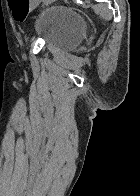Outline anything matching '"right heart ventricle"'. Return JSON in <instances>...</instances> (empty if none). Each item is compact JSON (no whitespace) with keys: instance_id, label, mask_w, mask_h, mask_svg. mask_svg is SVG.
I'll list each match as a JSON object with an SVG mask.
<instances>
[{"instance_id":"1","label":"right heart ventricle","mask_w":140,"mask_h":196,"mask_svg":"<svg viewBox=\"0 0 140 196\" xmlns=\"http://www.w3.org/2000/svg\"><path fill=\"white\" fill-rule=\"evenodd\" d=\"M1 192H34V191H1Z\"/></svg>"}]
</instances>
